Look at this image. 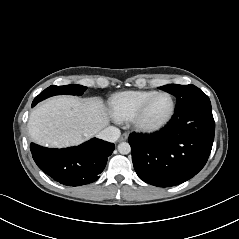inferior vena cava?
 Here are the masks:
<instances>
[{
  "mask_svg": "<svg viewBox=\"0 0 239 239\" xmlns=\"http://www.w3.org/2000/svg\"><path fill=\"white\" fill-rule=\"evenodd\" d=\"M120 130L113 126H108L98 133V138L108 141L115 142L120 137Z\"/></svg>",
  "mask_w": 239,
  "mask_h": 239,
  "instance_id": "inferior-vena-cava-1",
  "label": "inferior vena cava"
}]
</instances>
